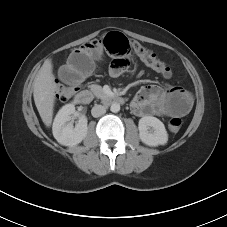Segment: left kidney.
<instances>
[{
	"label": "left kidney",
	"instance_id": "left-kidney-1",
	"mask_svg": "<svg viewBox=\"0 0 227 227\" xmlns=\"http://www.w3.org/2000/svg\"><path fill=\"white\" fill-rule=\"evenodd\" d=\"M139 137L148 146L165 145L168 134L164 124L156 117L144 116L139 120Z\"/></svg>",
	"mask_w": 227,
	"mask_h": 227
}]
</instances>
